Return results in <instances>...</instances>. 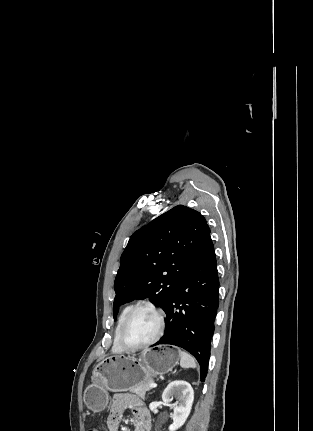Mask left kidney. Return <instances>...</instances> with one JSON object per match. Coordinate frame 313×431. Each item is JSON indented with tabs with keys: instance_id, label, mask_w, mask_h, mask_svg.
<instances>
[{
	"instance_id": "5707ae66",
	"label": "left kidney",
	"mask_w": 313,
	"mask_h": 431,
	"mask_svg": "<svg viewBox=\"0 0 313 431\" xmlns=\"http://www.w3.org/2000/svg\"><path fill=\"white\" fill-rule=\"evenodd\" d=\"M173 396L180 403L170 404ZM162 400L173 409V423L169 426V431H176L186 422L190 414L194 400V391L188 382L176 380L166 387L162 394Z\"/></svg>"
}]
</instances>
